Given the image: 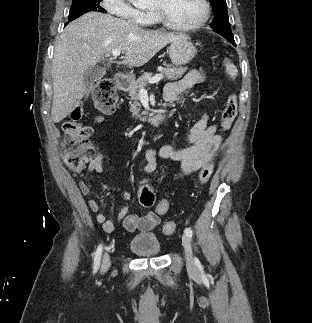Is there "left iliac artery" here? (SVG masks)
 <instances>
[{
  "label": "left iliac artery",
  "instance_id": "1",
  "mask_svg": "<svg viewBox=\"0 0 312 323\" xmlns=\"http://www.w3.org/2000/svg\"><path fill=\"white\" fill-rule=\"evenodd\" d=\"M189 237H192V235H193V231H192V229L191 228H186L185 229V231H184Z\"/></svg>",
  "mask_w": 312,
  "mask_h": 323
}]
</instances>
